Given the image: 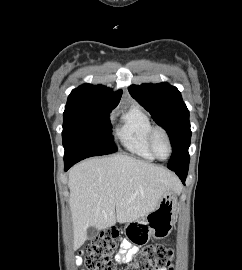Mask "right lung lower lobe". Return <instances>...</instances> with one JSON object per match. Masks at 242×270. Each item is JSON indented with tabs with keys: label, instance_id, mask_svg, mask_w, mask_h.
Segmentation results:
<instances>
[{
	"label": "right lung lower lobe",
	"instance_id": "98d812e1",
	"mask_svg": "<svg viewBox=\"0 0 242 270\" xmlns=\"http://www.w3.org/2000/svg\"><path fill=\"white\" fill-rule=\"evenodd\" d=\"M75 163H77L76 161H72V162H65V171H67L72 165H74Z\"/></svg>",
	"mask_w": 242,
	"mask_h": 270
}]
</instances>
